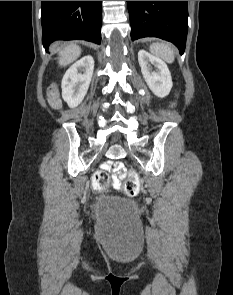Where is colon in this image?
<instances>
[{
  "label": "colon",
  "mask_w": 233,
  "mask_h": 295,
  "mask_svg": "<svg viewBox=\"0 0 233 295\" xmlns=\"http://www.w3.org/2000/svg\"><path fill=\"white\" fill-rule=\"evenodd\" d=\"M50 101L54 107H58L56 92L52 90L49 94ZM109 184V174L106 171L98 170L92 176V186L94 189H103ZM140 189V178L138 174L131 170L128 179L126 180L123 191L129 197H134Z\"/></svg>",
  "instance_id": "1"
}]
</instances>
